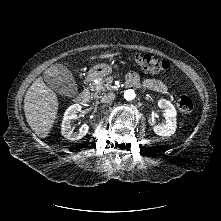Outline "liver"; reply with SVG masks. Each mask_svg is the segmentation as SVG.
<instances>
[{
	"label": "liver",
	"instance_id": "obj_1",
	"mask_svg": "<svg viewBox=\"0 0 221 221\" xmlns=\"http://www.w3.org/2000/svg\"><path fill=\"white\" fill-rule=\"evenodd\" d=\"M106 55H100L99 58H105ZM96 56L90 59H96ZM26 118L32 129L46 136L53 119L56 118L58 109V98L56 94L50 90L39 77L29 88L25 103Z\"/></svg>",
	"mask_w": 221,
	"mask_h": 221
}]
</instances>
